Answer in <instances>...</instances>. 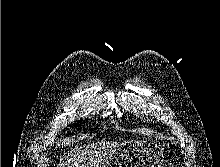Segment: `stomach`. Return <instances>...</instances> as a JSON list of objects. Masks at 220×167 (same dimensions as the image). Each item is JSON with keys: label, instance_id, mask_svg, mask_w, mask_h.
I'll return each instance as SVG.
<instances>
[{"label": "stomach", "instance_id": "stomach-1", "mask_svg": "<svg viewBox=\"0 0 220 167\" xmlns=\"http://www.w3.org/2000/svg\"><path fill=\"white\" fill-rule=\"evenodd\" d=\"M108 167H165L160 147L152 142H128L120 145Z\"/></svg>", "mask_w": 220, "mask_h": 167}]
</instances>
